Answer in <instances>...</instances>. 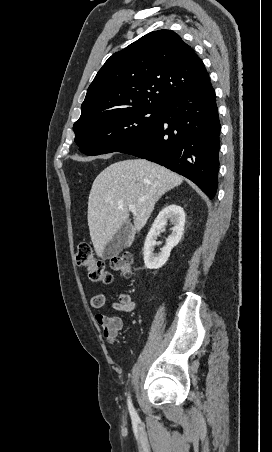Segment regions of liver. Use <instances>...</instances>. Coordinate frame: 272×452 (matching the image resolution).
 I'll use <instances>...</instances> for the list:
<instances>
[{
    "label": "liver",
    "instance_id": "1",
    "mask_svg": "<svg viewBox=\"0 0 272 452\" xmlns=\"http://www.w3.org/2000/svg\"><path fill=\"white\" fill-rule=\"evenodd\" d=\"M182 182L178 174L146 159L122 160L100 172L92 184L87 215L97 256L103 257L106 244L127 221L129 205H134L135 211L128 247L136 232L145 226L161 196Z\"/></svg>",
    "mask_w": 272,
    "mask_h": 452
}]
</instances>
